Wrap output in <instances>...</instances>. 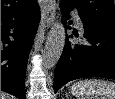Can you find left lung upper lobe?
Segmentation results:
<instances>
[{
	"label": "left lung upper lobe",
	"instance_id": "left-lung-upper-lobe-1",
	"mask_svg": "<svg viewBox=\"0 0 115 99\" xmlns=\"http://www.w3.org/2000/svg\"><path fill=\"white\" fill-rule=\"evenodd\" d=\"M60 4L77 9L80 18L85 21L115 29L113 0H62Z\"/></svg>",
	"mask_w": 115,
	"mask_h": 99
}]
</instances>
